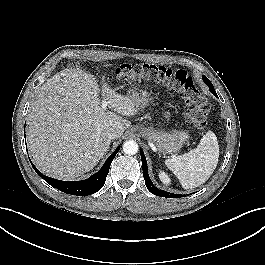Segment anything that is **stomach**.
<instances>
[{"instance_id": "0dacf381", "label": "stomach", "mask_w": 265, "mask_h": 265, "mask_svg": "<svg viewBox=\"0 0 265 265\" xmlns=\"http://www.w3.org/2000/svg\"><path fill=\"white\" fill-rule=\"evenodd\" d=\"M132 96L141 106L145 105L150 98L147 91L135 92ZM140 133L145 139L153 142L158 152L163 154L178 152L190 139L189 133L184 130L164 131L148 127L141 128Z\"/></svg>"}]
</instances>
